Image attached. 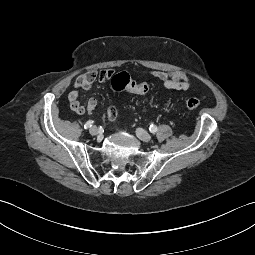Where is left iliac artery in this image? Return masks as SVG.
I'll use <instances>...</instances> for the list:
<instances>
[{
    "label": "left iliac artery",
    "instance_id": "left-iliac-artery-1",
    "mask_svg": "<svg viewBox=\"0 0 255 255\" xmlns=\"http://www.w3.org/2000/svg\"><path fill=\"white\" fill-rule=\"evenodd\" d=\"M149 130H150L151 133H156L157 130H158V128H157V126H155V125H150Z\"/></svg>",
    "mask_w": 255,
    "mask_h": 255
}]
</instances>
